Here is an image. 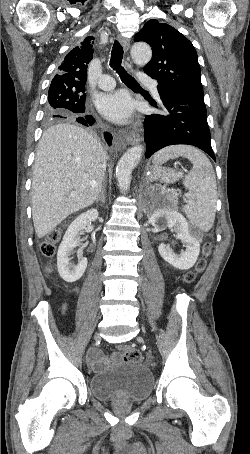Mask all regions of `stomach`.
Wrapping results in <instances>:
<instances>
[{
	"mask_svg": "<svg viewBox=\"0 0 250 454\" xmlns=\"http://www.w3.org/2000/svg\"><path fill=\"white\" fill-rule=\"evenodd\" d=\"M180 176L181 173L168 169H158L154 171L152 174L153 179H158L160 181L168 183L176 181L177 179H179Z\"/></svg>",
	"mask_w": 250,
	"mask_h": 454,
	"instance_id": "stomach-1",
	"label": "stomach"
}]
</instances>
